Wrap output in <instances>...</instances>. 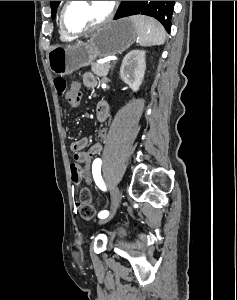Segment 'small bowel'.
<instances>
[{
  "label": "small bowel",
  "instance_id": "small-bowel-1",
  "mask_svg": "<svg viewBox=\"0 0 237 300\" xmlns=\"http://www.w3.org/2000/svg\"><path fill=\"white\" fill-rule=\"evenodd\" d=\"M83 85L87 88H93L97 84V80L94 74L86 73L82 79ZM81 84L79 82H73L70 86L69 93L75 94L80 91ZM109 117V105L106 101H100L96 106V119L98 123H104ZM107 135L106 127H102L100 130V137L103 139ZM89 140L88 138H81L72 143L71 149L74 152V163L70 165V171L73 175L77 173L79 180L82 177L87 183L92 182L91 165L92 159L98 156L102 151V144L96 142L92 144L87 150ZM78 208V204H76Z\"/></svg>",
  "mask_w": 237,
  "mask_h": 300
}]
</instances>
